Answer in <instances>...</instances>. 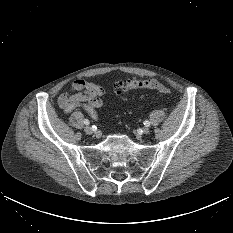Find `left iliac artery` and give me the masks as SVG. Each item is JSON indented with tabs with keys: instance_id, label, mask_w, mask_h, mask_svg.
<instances>
[{
	"instance_id": "1",
	"label": "left iliac artery",
	"mask_w": 233,
	"mask_h": 233,
	"mask_svg": "<svg viewBox=\"0 0 233 233\" xmlns=\"http://www.w3.org/2000/svg\"><path fill=\"white\" fill-rule=\"evenodd\" d=\"M144 125L148 127V126H150V122L146 120V121H144Z\"/></svg>"
}]
</instances>
